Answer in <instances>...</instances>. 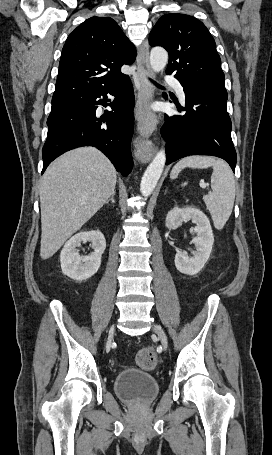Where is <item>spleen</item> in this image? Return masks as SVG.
Segmentation results:
<instances>
[{"instance_id": "spleen-1", "label": "spleen", "mask_w": 272, "mask_h": 455, "mask_svg": "<svg viewBox=\"0 0 272 455\" xmlns=\"http://www.w3.org/2000/svg\"><path fill=\"white\" fill-rule=\"evenodd\" d=\"M190 168H213L211 176L212 192L203 197L216 229H222L229 219L235 200V180L229 165L208 156H189L181 159L173 167L170 178L176 179L180 171Z\"/></svg>"}]
</instances>
